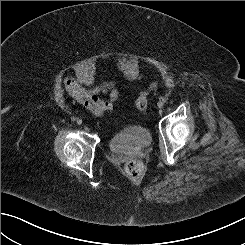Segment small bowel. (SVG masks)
<instances>
[{"label": "small bowel", "instance_id": "obj_1", "mask_svg": "<svg viewBox=\"0 0 245 245\" xmlns=\"http://www.w3.org/2000/svg\"><path fill=\"white\" fill-rule=\"evenodd\" d=\"M68 94L81 106L97 117L112 111L114 103L119 99V90L113 80L103 81L89 89L84 88L78 80L67 77L64 80ZM100 94H107L108 100H101Z\"/></svg>", "mask_w": 245, "mask_h": 245}]
</instances>
